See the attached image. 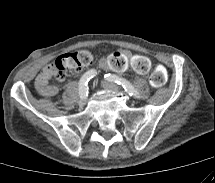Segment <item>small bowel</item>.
Here are the masks:
<instances>
[{"mask_svg":"<svg viewBox=\"0 0 215 183\" xmlns=\"http://www.w3.org/2000/svg\"><path fill=\"white\" fill-rule=\"evenodd\" d=\"M98 64L102 69L108 68L112 72L127 74L131 77L146 76L152 70V61L148 56L141 52L130 53L124 49L111 52L109 56L101 58ZM53 76L50 65L39 73L35 81V89L39 95L47 98L57 95L59 89L51 83Z\"/></svg>","mask_w":215,"mask_h":183,"instance_id":"c3829d8e","label":"small bowel"}]
</instances>
